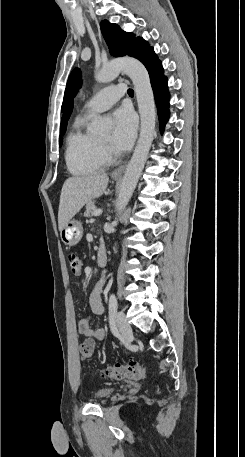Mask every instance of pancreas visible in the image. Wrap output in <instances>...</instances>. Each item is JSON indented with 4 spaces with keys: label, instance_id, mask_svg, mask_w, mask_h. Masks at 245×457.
<instances>
[{
    "label": "pancreas",
    "instance_id": "pancreas-1",
    "mask_svg": "<svg viewBox=\"0 0 245 457\" xmlns=\"http://www.w3.org/2000/svg\"><path fill=\"white\" fill-rule=\"evenodd\" d=\"M94 210H97L93 200H89L86 204V210L84 212V216H93Z\"/></svg>",
    "mask_w": 245,
    "mask_h": 457
}]
</instances>
